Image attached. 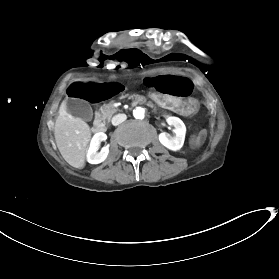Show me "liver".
<instances>
[{
  "label": "liver",
  "instance_id": "liver-1",
  "mask_svg": "<svg viewBox=\"0 0 279 279\" xmlns=\"http://www.w3.org/2000/svg\"><path fill=\"white\" fill-rule=\"evenodd\" d=\"M66 100L59 108L55 122L54 136L64 160L75 168H83L87 145L91 138L89 125L81 118L67 112Z\"/></svg>",
  "mask_w": 279,
  "mask_h": 279
}]
</instances>
